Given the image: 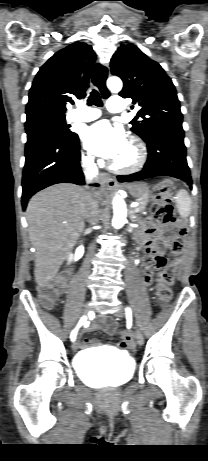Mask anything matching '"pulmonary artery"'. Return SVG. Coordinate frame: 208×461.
Instances as JSON below:
<instances>
[{"mask_svg":"<svg viewBox=\"0 0 208 461\" xmlns=\"http://www.w3.org/2000/svg\"><path fill=\"white\" fill-rule=\"evenodd\" d=\"M123 98L111 97L108 100L107 108L112 113H118L123 111L124 104ZM100 116V112L97 109L81 106L79 111L72 113L69 116L71 122H89L97 119Z\"/></svg>","mask_w":208,"mask_h":461,"instance_id":"e3ab8cb5","label":"pulmonary artery"}]
</instances>
